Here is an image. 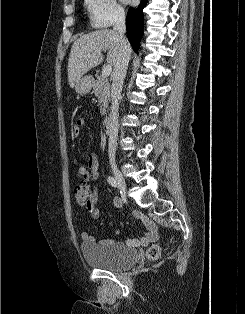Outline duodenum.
Segmentation results:
<instances>
[{
    "label": "duodenum",
    "mask_w": 245,
    "mask_h": 314,
    "mask_svg": "<svg viewBox=\"0 0 245 314\" xmlns=\"http://www.w3.org/2000/svg\"><path fill=\"white\" fill-rule=\"evenodd\" d=\"M102 128L106 133L111 131V118L106 116L102 121Z\"/></svg>",
    "instance_id": "410a0bca"
}]
</instances>
